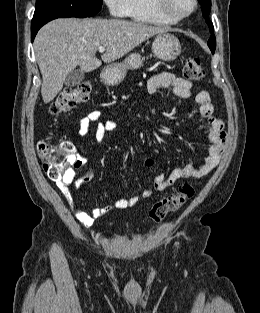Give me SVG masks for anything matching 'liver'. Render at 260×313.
Returning <instances> with one entry per match:
<instances>
[{
  "label": "liver",
  "instance_id": "liver-1",
  "mask_svg": "<svg viewBox=\"0 0 260 313\" xmlns=\"http://www.w3.org/2000/svg\"><path fill=\"white\" fill-rule=\"evenodd\" d=\"M168 29L120 19L60 18L44 25L34 40L35 56L43 83L44 103L52 101L63 88L67 74L77 66L91 72L120 59L139 44ZM99 46L106 52L99 60Z\"/></svg>",
  "mask_w": 260,
  "mask_h": 313
}]
</instances>
